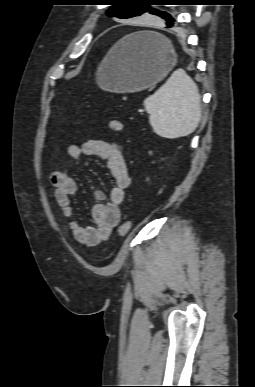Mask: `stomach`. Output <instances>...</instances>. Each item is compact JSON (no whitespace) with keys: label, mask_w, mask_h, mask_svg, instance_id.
Returning a JSON list of instances; mask_svg holds the SVG:
<instances>
[{"label":"stomach","mask_w":255,"mask_h":387,"mask_svg":"<svg viewBox=\"0 0 255 387\" xmlns=\"http://www.w3.org/2000/svg\"><path fill=\"white\" fill-rule=\"evenodd\" d=\"M151 37L150 41L146 40ZM177 55L168 39L135 33L117 42L100 65L96 81L103 90L136 92L162 80L174 67Z\"/></svg>","instance_id":"0dacf381"}]
</instances>
